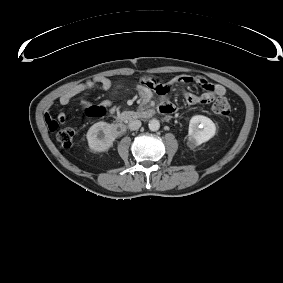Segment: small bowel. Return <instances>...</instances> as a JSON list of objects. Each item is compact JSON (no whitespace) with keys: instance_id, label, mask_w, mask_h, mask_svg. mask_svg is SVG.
Listing matches in <instances>:
<instances>
[{"instance_id":"c3829d8e","label":"small bowel","mask_w":283,"mask_h":283,"mask_svg":"<svg viewBox=\"0 0 283 283\" xmlns=\"http://www.w3.org/2000/svg\"><path fill=\"white\" fill-rule=\"evenodd\" d=\"M196 83L203 92L200 94H194L184 92L185 100L190 105L208 104L217 97H223L226 95V89L220 84L210 83L206 78L202 76L192 77L189 75H180L173 78L170 82L155 81L150 77H144L139 84V90L147 97H151V91L154 90L159 98L160 112L165 113L168 108H173L170 102V87L171 85H190ZM112 87L110 79L97 76L73 86L68 89L59 97V104L61 106H68L76 97L83 98V110L89 117L102 116L105 113V109L110 106L109 101H103L99 106H90L87 102V96L94 90H109ZM66 120V113L60 111L55 117L49 113L45 114V123L50 130L57 128L58 123H63Z\"/></svg>"}]
</instances>
